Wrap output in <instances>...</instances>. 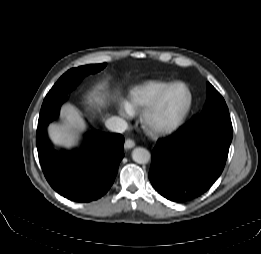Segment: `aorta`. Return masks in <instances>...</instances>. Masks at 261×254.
<instances>
[{"label": "aorta", "mask_w": 261, "mask_h": 254, "mask_svg": "<svg viewBox=\"0 0 261 254\" xmlns=\"http://www.w3.org/2000/svg\"><path fill=\"white\" fill-rule=\"evenodd\" d=\"M132 159L138 164H146L151 160V154L145 148H135L132 151Z\"/></svg>", "instance_id": "obj_1"}]
</instances>
